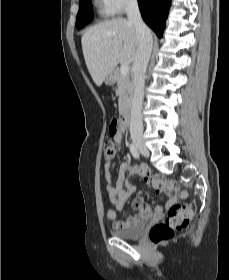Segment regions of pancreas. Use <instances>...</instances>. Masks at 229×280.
Listing matches in <instances>:
<instances>
[{"label": "pancreas", "instance_id": "1", "mask_svg": "<svg viewBox=\"0 0 229 280\" xmlns=\"http://www.w3.org/2000/svg\"><path fill=\"white\" fill-rule=\"evenodd\" d=\"M117 94L119 96V112L123 113L129 106L133 94V82L129 75H123L121 71L116 73Z\"/></svg>", "mask_w": 229, "mask_h": 280}]
</instances>
